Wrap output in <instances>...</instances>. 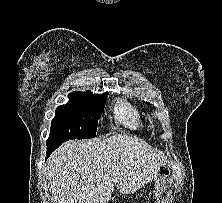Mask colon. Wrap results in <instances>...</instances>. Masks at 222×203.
Wrapping results in <instances>:
<instances>
[{
	"label": "colon",
	"mask_w": 222,
	"mask_h": 203,
	"mask_svg": "<svg viewBox=\"0 0 222 203\" xmlns=\"http://www.w3.org/2000/svg\"><path fill=\"white\" fill-rule=\"evenodd\" d=\"M161 173H162V175H166V174H167V170H166V169H163V170L161 171Z\"/></svg>",
	"instance_id": "obj_1"
}]
</instances>
